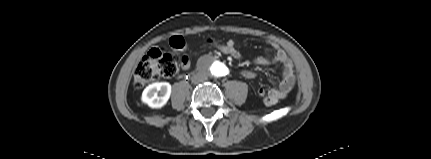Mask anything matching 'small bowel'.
I'll use <instances>...</instances> for the list:
<instances>
[{
	"label": "small bowel",
	"instance_id": "obj_1",
	"mask_svg": "<svg viewBox=\"0 0 431 159\" xmlns=\"http://www.w3.org/2000/svg\"><path fill=\"white\" fill-rule=\"evenodd\" d=\"M209 42L211 43V46L216 50H218L219 52H222L223 50L225 52H228L231 49V47H233L234 48L233 54H227V53H224V54L230 55L235 59L241 58V54L237 49V46L234 40H228L224 44H222L218 40H212ZM254 63L259 66H269L271 64H276V63H279L282 65L283 67L282 79L279 82L278 87L272 88L269 91H266V94L263 96L265 104L270 106H276L279 103V100L283 99L293 89L295 85L296 77H295V72H294L292 62L290 61L287 54L283 50L276 49V53L272 57L259 56L255 58ZM190 66H191V61L189 57L184 56L181 62L182 69L187 70L190 68ZM242 75L245 78L251 79L256 76V72L245 69L242 71Z\"/></svg>",
	"mask_w": 431,
	"mask_h": 159
}]
</instances>
